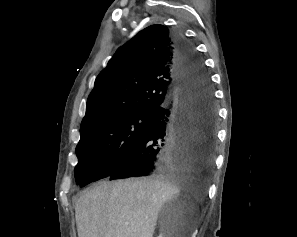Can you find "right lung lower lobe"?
Returning a JSON list of instances; mask_svg holds the SVG:
<instances>
[{"instance_id": "1", "label": "right lung lower lobe", "mask_w": 297, "mask_h": 237, "mask_svg": "<svg viewBox=\"0 0 297 237\" xmlns=\"http://www.w3.org/2000/svg\"><path fill=\"white\" fill-rule=\"evenodd\" d=\"M180 87L158 108L149 129L99 179L168 173L208 174L213 166L216 108L204 65L193 46L173 34Z\"/></svg>"}]
</instances>
